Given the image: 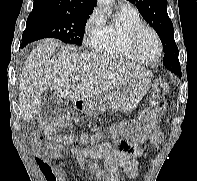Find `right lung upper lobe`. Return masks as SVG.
<instances>
[{
	"instance_id": "cb5924a9",
	"label": "right lung upper lobe",
	"mask_w": 197,
	"mask_h": 181,
	"mask_svg": "<svg viewBox=\"0 0 197 181\" xmlns=\"http://www.w3.org/2000/svg\"><path fill=\"white\" fill-rule=\"evenodd\" d=\"M97 0H34L33 10H47L62 13L93 12Z\"/></svg>"
}]
</instances>
